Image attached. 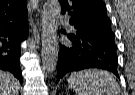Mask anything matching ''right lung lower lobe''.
Masks as SVG:
<instances>
[{"instance_id":"1","label":"right lung lower lobe","mask_w":135,"mask_h":95,"mask_svg":"<svg viewBox=\"0 0 135 95\" xmlns=\"http://www.w3.org/2000/svg\"><path fill=\"white\" fill-rule=\"evenodd\" d=\"M27 36V17L14 21L0 20V69L11 72L21 84L20 45Z\"/></svg>"}]
</instances>
